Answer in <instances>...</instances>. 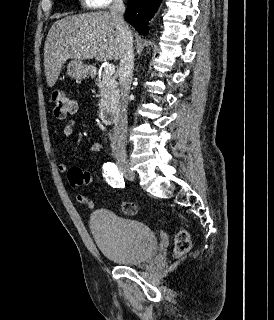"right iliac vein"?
<instances>
[{
    "label": "right iliac vein",
    "mask_w": 274,
    "mask_h": 320,
    "mask_svg": "<svg viewBox=\"0 0 274 320\" xmlns=\"http://www.w3.org/2000/svg\"><path fill=\"white\" fill-rule=\"evenodd\" d=\"M117 164L121 170V172L124 174V176L129 179V180H134L135 179V174L132 171L130 164L126 158H118Z\"/></svg>",
    "instance_id": "63e3f726"
}]
</instances>
